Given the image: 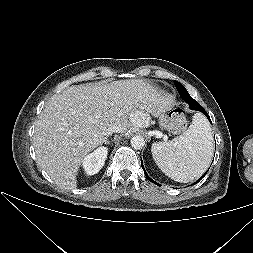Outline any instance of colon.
<instances>
[{
    "mask_svg": "<svg viewBox=\"0 0 253 253\" xmlns=\"http://www.w3.org/2000/svg\"><path fill=\"white\" fill-rule=\"evenodd\" d=\"M168 127L173 132H180L185 129L186 118L181 109H177L170 114Z\"/></svg>",
    "mask_w": 253,
    "mask_h": 253,
    "instance_id": "colon-1",
    "label": "colon"
}]
</instances>
